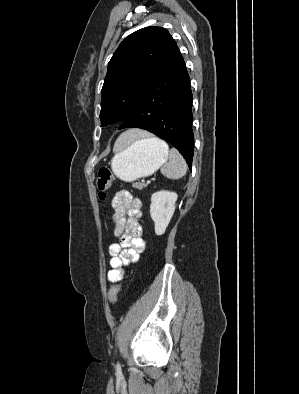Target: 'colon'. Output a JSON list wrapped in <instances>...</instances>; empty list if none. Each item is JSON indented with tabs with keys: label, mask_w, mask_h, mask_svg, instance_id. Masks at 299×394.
<instances>
[{
	"label": "colon",
	"mask_w": 299,
	"mask_h": 394,
	"mask_svg": "<svg viewBox=\"0 0 299 394\" xmlns=\"http://www.w3.org/2000/svg\"><path fill=\"white\" fill-rule=\"evenodd\" d=\"M114 175L109 168H101L98 172L97 186L99 189V196L101 199L105 198V192L110 188L114 182ZM120 291V282L117 281L113 284L109 292V299L112 305L117 302V296Z\"/></svg>",
	"instance_id": "5ec220e1"
}]
</instances>
